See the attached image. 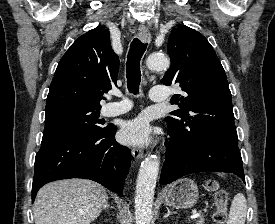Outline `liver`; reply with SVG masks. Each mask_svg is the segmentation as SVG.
Segmentation results:
<instances>
[{"label": "liver", "instance_id": "1", "mask_svg": "<svg viewBox=\"0 0 275 224\" xmlns=\"http://www.w3.org/2000/svg\"><path fill=\"white\" fill-rule=\"evenodd\" d=\"M107 201L106 190L93 181L52 182L37 193L33 208L35 224H90Z\"/></svg>", "mask_w": 275, "mask_h": 224}]
</instances>
